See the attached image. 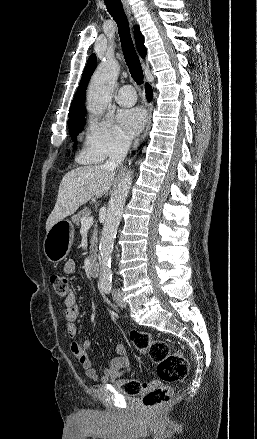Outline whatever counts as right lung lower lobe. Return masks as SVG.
<instances>
[{
  "mask_svg": "<svg viewBox=\"0 0 257 439\" xmlns=\"http://www.w3.org/2000/svg\"><path fill=\"white\" fill-rule=\"evenodd\" d=\"M145 91H146L147 100L150 102L152 99L153 90L149 84L145 85Z\"/></svg>",
  "mask_w": 257,
  "mask_h": 439,
  "instance_id": "1",
  "label": "right lung lower lobe"
}]
</instances>
